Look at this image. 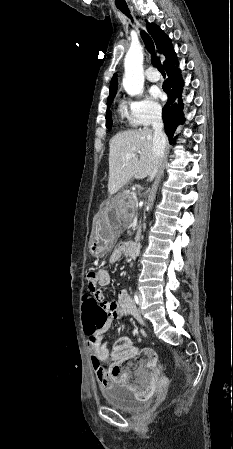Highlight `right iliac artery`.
<instances>
[{
  "label": "right iliac artery",
  "instance_id": "right-iliac-artery-1",
  "mask_svg": "<svg viewBox=\"0 0 233 449\" xmlns=\"http://www.w3.org/2000/svg\"><path fill=\"white\" fill-rule=\"evenodd\" d=\"M134 300H135V302H136L137 304L139 303V299H138L137 294L134 295Z\"/></svg>",
  "mask_w": 233,
  "mask_h": 449
}]
</instances>
